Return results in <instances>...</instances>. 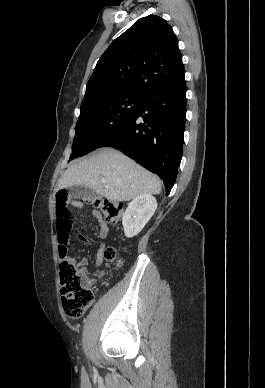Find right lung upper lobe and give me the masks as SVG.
<instances>
[{"label": "right lung upper lobe", "mask_w": 265, "mask_h": 388, "mask_svg": "<svg viewBox=\"0 0 265 388\" xmlns=\"http://www.w3.org/2000/svg\"><path fill=\"white\" fill-rule=\"evenodd\" d=\"M182 77V56L172 28L161 17L149 15L111 43L97 62L85 97L102 90L143 96Z\"/></svg>", "instance_id": "right-lung-upper-lobe-1"}]
</instances>
